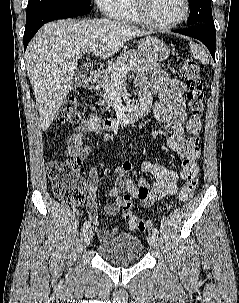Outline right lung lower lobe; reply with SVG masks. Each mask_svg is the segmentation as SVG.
Here are the masks:
<instances>
[{
	"label": "right lung lower lobe",
	"mask_w": 239,
	"mask_h": 303,
	"mask_svg": "<svg viewBox=\"0 0 239 303\" xmlns=\"http://www.w3.org/2000/svg\"><path fill=\"white\" fill-rule=\"evenodd\" d=\"M90 11V6H46L26 12V27L23 37L24 51L29 41L45 23L85 15Z\"/></svg>",
	"instance_id": "1"
}]
</instances>
